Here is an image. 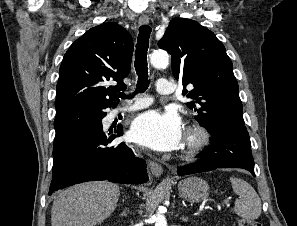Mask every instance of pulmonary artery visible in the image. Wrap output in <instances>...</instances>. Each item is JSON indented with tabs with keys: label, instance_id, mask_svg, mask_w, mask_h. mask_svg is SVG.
<instances>
[{
	"label": "pulmonary artery",
	"instance_id": "1",
	"mask_svg": "<svg viewBox=\"0 0 297 226\" xmlns=\"http://www.w3.org/2000/svg\"><path fill=\"white\" fill-rule=\"evenodd\" d=\"M156 90L161 95H170L174 92L175 86L171 83L170 80L161 78L157 81ZM152 103L151 99L148 98H139L133 104L119 107L114 110L113 114L117 115L120 113H127L136 109L147 107Z\"/></svg>",
	"mask_w": 297,
	"mask_h": 226
}]
</instances>
